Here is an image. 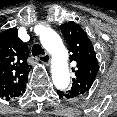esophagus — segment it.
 I'll use <instances>...</instances> for the list:
<instances>
[{"label": "esophagus", "mask_w": 117, "mask_h": 117, "mask_svg": "<svg viewBox=\"0 0 117 117\" xmlns=\"http://www.w3.org/2000/svg\"><path fill=\"white\" fill-rule=\"evenodd\" d=\"M39 60L45 65H49L51 58L49 54H44V55L39 56Z\"/></svg>", "instance_id": "1"}]
</instances>
